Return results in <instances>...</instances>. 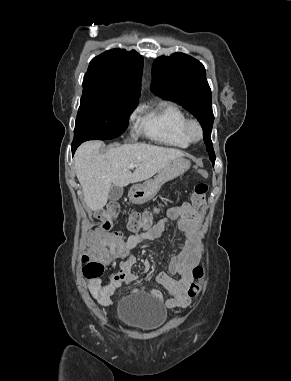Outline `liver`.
<instances>
[{"label":"liver","mask_w":291,"mask_h":381,"mask_svg":"<svg viewBox=\"0 0 291 381\" xmlns=\"http://www.w3.org/2000/svg\"><path fill=\"white\" fill-rule=\"evenodd\" d=\"M101 145L99 141L85 142L74 157L84 201L92 211L101 210L106 205L112 185L123 188L147 180L171 161L184 156L178 149L145 143L122 145L100 154ZM131 163L136 165L133 173L129 171Z\"/></svg>","instance_id":"liver-1"}]
</instances>
